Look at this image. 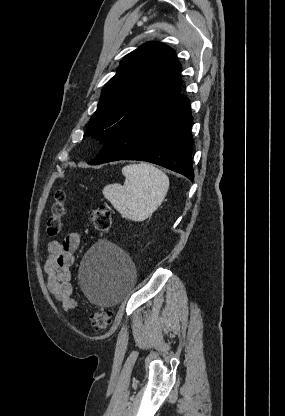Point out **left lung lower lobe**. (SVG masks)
I'll use <instances>...</instances> for the list:
<instances>
[{"instance_id":"left-lung-lower-lobe-1","label":"left lung lower lobe","mask_w":285,"mask_h":416,"mask_svg":"<svg viewBox=\"0 0 285 416\" xmlns=\"http://www.w3.org/2000/svg\"><path fill=\"white\" fill-rule=\"evenodd\" d=\"M191 124L189 100L179 95L123 127L88 164L142 160L179 172L193 181Z\"/></svg>"}]
</instances>
